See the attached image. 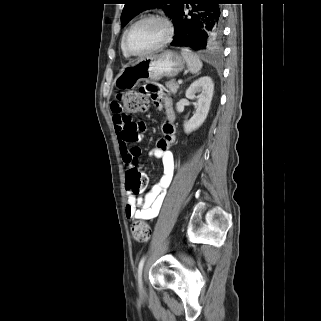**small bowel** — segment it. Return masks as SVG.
<instances>
[{
  "label": "small bowel",
  "instance_id": "1",
  "mask_svg": "<svg viewBox=\"0 0 321 321\" xmlns=\"http://www.w3.org/2000/svg\"><path fill=\"white\" fill-rule=\"evenodd\" d=\"M136 92L142 98H151L157 109H164L166 119L162 124V136L151 150V156L162 161L163 173L160 180L143 197H136L129 193L126 205V217L129 220H152L156 218L162 207L165 193L174 174V158L170 151L175 142V111L172 99L163 93L162 86L156 82H147L145 86L136 87ZM112 120L118 138L120 153L127 168L134 161H139L140 149L133 145L143 138L146 125L141 121H134L125 117L119 111L116 102L111 104Z\"/></svg>",
  "mask_w": 321,
  "mask_h": 321
}]
</instances>
